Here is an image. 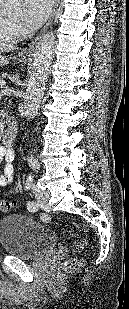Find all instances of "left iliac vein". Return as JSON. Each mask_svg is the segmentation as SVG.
<instances>
[{
  "label": "left iliac vein",
  "mask_w": 129,
  "mask_h": 309,
  "mask_svg": "<svg viewBox=\"0 0 129 309\" xmlns=\"http://www.w3.org/2000/svg\"><path fill=\"white\" fill-rule=\"evenodd\" d=\"M33 193L37 199L36 205L37 208H42L46 212H50L51 208L48 205L49 194L48 192L42 190L36 183H33L32 187Z\"/></svg>",
  "instance_id": "1"
}]
</instances>
